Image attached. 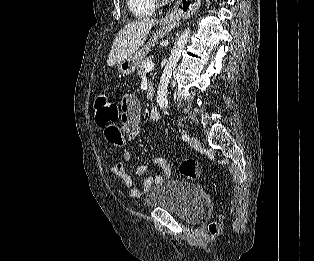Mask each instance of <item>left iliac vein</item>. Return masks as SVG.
Here are the masks:
<instances>
[{"label": "left iliac vein", "mask_w": 314, "mask_h": 261, "mask_svg": "<svg viewBox=\"0 0 314 261\" xmlns=\"http://www.w3.org/2000/svg\"><path fill=\"white\" fill-rule=\"evenodd\" d=\"M190 145L192 146V147H194V148H198V147H200V141H199V139L197 138V137H195V136H192L191 138H190Z\"/></svg>", "instance_id": "left-iliac-vein-1"}]
</instances>
